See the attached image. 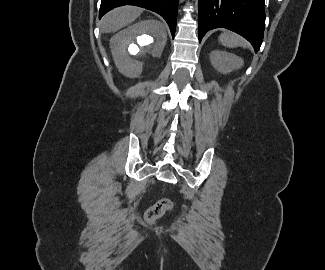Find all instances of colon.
Listing matches in <instances>:
<instances>
[{"mask_svg":"<svg viewBox=\"0 0 325 270\" xmlns=\"http://www.w3.org/2000/svg\"><path fill=\"white\" fill-rule=\"evenodd\" d=\"M173 208V203L170 199L164 198L158 200L153 204L145 213V219L149 223L155 222L166 212L170 211Z\"/></svg>","mask_w":325,"mask_h":270,"instance_id":"colon-1","label":"colon"}]
</instances>
